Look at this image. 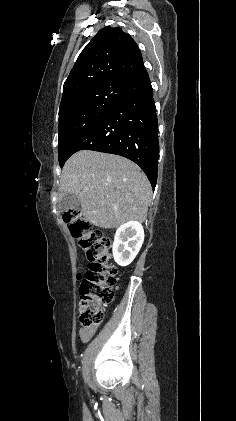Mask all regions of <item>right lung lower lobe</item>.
Instances as JSON below:
<instances>
[{
	"mask_svg": "<svg viewBox=\"0 0 236 421\" xmlns=\"http://www.w3.org/2000/svg\"><path fill=\"white\" fill-rule=\"evenodd\" d=\"M125 96L77 142L79 150L126 157L147 175L155 188L159 158L158 121L151 81L145 67L125 77Z\"/></svg>",
	"mask_w": 236,
	"mask_h": 421,
	"instance_id": "obj_1",
	"label": "right lung lower lobe"
}]
</instances>
